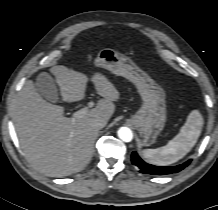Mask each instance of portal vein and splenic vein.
Wrapping results in <instances>:
<instances>
[{
	"mask_svg": "<svg viewBox=\"0 0 218 210\" xmlns=\"http://www.w3.org/2000/svg\"><path fill=\"white\" fill-rule=\"evenodd\" d=\"M92 106H93V102H89V103H88V106H86V107H84V108H82V109L76 111L75 113H73V116H72V117H73L74 119H78V118H81V117L85 116V115L88 113L89 109H90Z\"/></svg>",
	"mask_w": 218,
	"mask_h": 210,
	"instance_id": "obj_1",
	"label": "portal vein and splenic vein"
}]
</instances>
